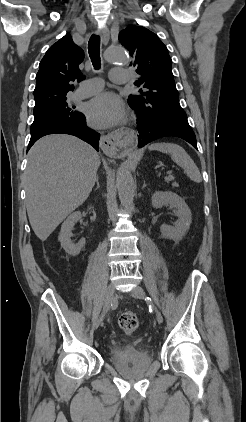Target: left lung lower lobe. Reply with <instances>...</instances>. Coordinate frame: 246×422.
Listing matches in <instances>:
<instances>
[{"label": "left lung lower lobe", "instance_id": "left-lung-lower-lobe-1", "mask_svg": "<svg viewBox=\"0 0 246 422\" xmlns=\"http://www.w3.org/2000/svg\"><path fill=\"white\" fill-rule=\"evenodd\" d=\"M137 118L138 148H142L158 138L173 136L187 141L198 150L195 133L190 127L187 118H161L154 122H149L140 114H138Z\"/></svg>", "mask_w": 246, "mask_h": 422}]
</instances>
